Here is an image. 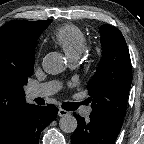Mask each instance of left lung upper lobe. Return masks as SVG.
Masks as SVG:
<instances>
[{
  "label": "left lung upper lobe",
  "instance_id": "obj_1",
  "mask_svg": "<svg viewBox=\"0 0 144 144\" xmlns=\"http://www.w3.org/2000/svg\"><path fill=\"white\" fill-rule=\"evenodd\" d=\"M99 31L103 56L87 87L90 115L121 128L132 81L129 50L116 27L102 25Z\"/></svg>",
  "mask_w": 144,
  "mask_h": 144
}]
</instances>
